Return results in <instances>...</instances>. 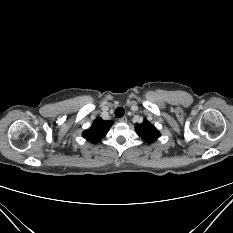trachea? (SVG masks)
Instances as JSON below:
<instances>
[{
    "mask_svg": "<svg viewBox=\"0 0 233 233\" xmlns=\"http://www.w3.org/2000/svg\"><path fill=\"white\" fill-rule=\"evenodd\" d=\"M125 114V110L122 107H119L115 110V116L120 118Z\"/></svg>",
    "mask_w": 233,
    "mask_h": 233,
    "instance_id": "trachea-1",
    "label": "trachea"
}]
</instances>
